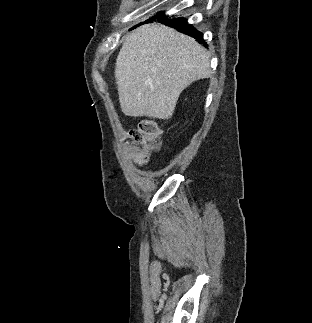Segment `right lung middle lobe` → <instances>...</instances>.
Instances as JSON below:
<instances>
[{
    "label": "right lung middle lobe",
    "mask_w": 312,
    "mask_h": 323,
    "mask_svg": "<svg viewBox=\"0 0 312 323\" xmlns=\"http://www.w3.org/2000/svg\"><path fill=\"white\" fill-rule=\"evenodd\" d=\"M163 17H166V16L164 15V12H159V13H157L154 17H152V18H151V21H152V19H155V18H157V19H161V18H163Z\"/></svg>",
    "instance_id": "right-lung-middle-lobe-1"
}]
</instances>
